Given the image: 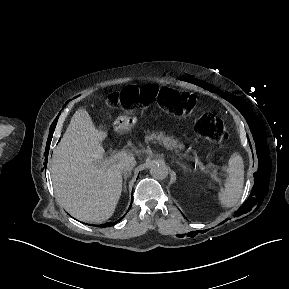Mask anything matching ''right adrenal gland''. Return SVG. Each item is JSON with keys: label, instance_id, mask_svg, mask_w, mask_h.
<instances>
[{"label": "right adrenal gland", "instance_id": "obj_1", "mask_svg": "<svg viewBox=\"0 0 289 289\" xmlns=\"http://www.w3.org/2000/svg\"><path fill=\"white\" fill-rule=\"evenodd\" d=\"M129 175H130V173L129 174H124V182H123V190L124 191H126V180H127Z\"/></svg>", "mask_w": 289, "mask_h": 289}]
</instances>
